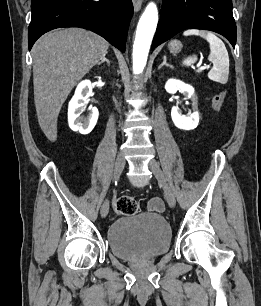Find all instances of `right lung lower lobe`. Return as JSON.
Instances as JSON below:
<instances>
[{
	"label": "right lung lower lobe",
	"instance_id": "98d812e1",
	"mask_svg": "<svg viewBox=\"0 0 261 306\" xmlns=\"http://www.w3.org/2000/svg\"><path fill=\"white\" fill-rule=\"evenodd\" d=\"M28 47L44 33L63 27L91 30L122 52L130 19L131 0H32Z\"/></svg>",
	"mask_w": 261,
	"mask_h": 306
}]
</instances>
